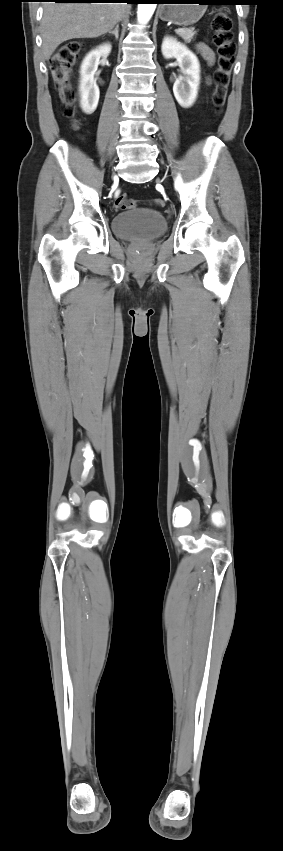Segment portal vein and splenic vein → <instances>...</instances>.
<instances>
[{"label":"portal vein and splenic vein","instance_id":"portal-vein-and-splenic-vein-1","mask_svg":"<svg viewBox=\"0 0 283 851\" xmlns=\"http://www.w3.org/2000/svg\"><path fill=\"white\" fill-rule=\"evenodd\" d=\"M182 30H184V28H178L175 31L178 32V31H182Z\"/></svg>","mask_w":283,"mask_h":851}]
</instances>
